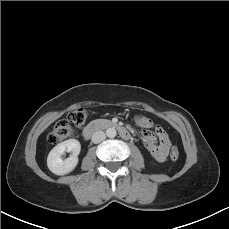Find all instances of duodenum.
Masks as SVG:
<instances>
[{
	"instance_id": "obj_1",
	"label": "duodenum",
	"mask_w": 229,
	"mask_h": 229,
	"mask_svg": "<svg viewBox=\"0 0 229 229\" xmlns=\"http://www.w3.org/2000/svg\"><path fill=\"white\" fill-rule=\"evenodd\" d=\"M102 128H113V129H117L120 133V135L128 140L130 139V134L129 132L126 130L125 127L119 125L118 123L115 122H93L90 123L83 131V135L86 139L90 138L94 133H96L97 131H99Z\"/></svg>"
}]
</instances>
